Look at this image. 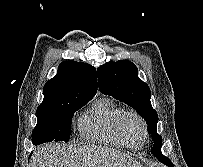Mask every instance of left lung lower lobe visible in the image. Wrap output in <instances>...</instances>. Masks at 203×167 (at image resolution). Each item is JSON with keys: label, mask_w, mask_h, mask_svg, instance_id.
Masks as SVG:
<instances>
[{"label": "left lung lower lobe", "mask_w": 203, "mask_h": 167, "mask_svg": "<svg viewBox=\"0 0 203 167\" xmlns=\"http://www.w3.org/2000/svg\"><path fill=\"white\" fill-rule=\"evenodd\" d=\"M157 156L159 157V161H163V163H166L167 160H164L163 158H166L165 156L162 155L161 150L158 151Z\"/></svg>", "instance_id": "0a47b994"}]
</instances>
